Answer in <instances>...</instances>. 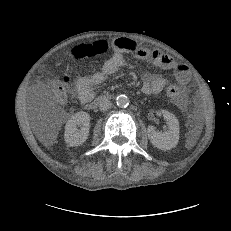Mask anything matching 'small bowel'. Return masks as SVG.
Wrapping results in <instances>:
<instances>
[{
  "instance_id": "c3829d8e",
  "label": "small bowel",
  "mask_w": 231,
  "mask_h": 231,
  "mask_svg": "<svg viewBox=\"0 0 231 231\" xmlns=\"http://www.w3.org/2000/svg\"><path fill=\"white\" fill-rule=\"evenodd\" d=\"M113 45L114 53L104 62L102 69L90 76L82 77L76 82L75 91L82 102L91 101L95 94V87L101 85L107 77L126 64L127 54L138 59L148 60L160 68L172 70L176 80L182 86H186L190 80L188 68L161 50L141 47L134 40L126 37L115 39ZM165 84L163 78L147 73L143 76L142 92L147 95L159 93Z\"/></svg>"
}]
</instances>
